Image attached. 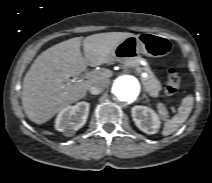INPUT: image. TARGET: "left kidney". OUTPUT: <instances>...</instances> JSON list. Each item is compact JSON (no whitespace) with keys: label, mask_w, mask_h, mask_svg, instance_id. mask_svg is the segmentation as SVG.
Listing matches in <instances>:
<instances>
[{"label":"left kidney","mask_w":212,"mask_h":183,"mask_svg":"<svg viewBox=\"0 0 212 183\" xmlns=\"http://www.w3.org/2000/svg\"><path fill=\"white\" fill-rule=\"evenodd\" d=\"M132 118L136 126L147 134H155L160 128V119L155 111L147 106L137 105L132 108Z\"/></svg>","instance_id":"1"}]
</instances>
